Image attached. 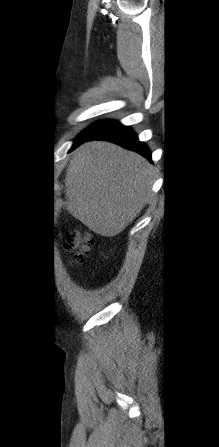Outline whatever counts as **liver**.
I'll use <instances>...</instances> for the list:
<instances>
[{
    "mask_svg": "<svg viewBox=\"0 0 219 447\" xmlns=\"http://www.w3.org/2000/svg\"><path fill=\"white\" fill-rule=\"evenodd\" d=\"M67 176L69 213L107 237L122 232L139 215L154 182L146 159L105 141L78 147Z\"/></svg>",
    "mask_w": 219,
    "mask_h": 447,
    "instance_id": "6515ba94",
    "label": "liver"
}]
</instances>
